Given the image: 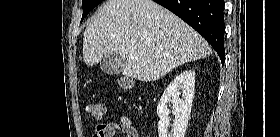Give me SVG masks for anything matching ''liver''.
Listing matches in <instances>:
<instances>
[{
    "instance_id": "1",
    "label": "liver",
    "mask_w": 280,
    "mask_h": 137,
    "mask_svg": "<svg viewBox=\"0 0 280 137\" xmlns=\"http://www.w3.org/2000/svg\"><path fill=\"white\" fill-rule=\"evenodd\" d=\"M108 53L126 59V77L155 81L179 65L209 56L212 48L152 0H108L84 31L83 59L93 66Z\"/></svg>"
}]
</instances>
